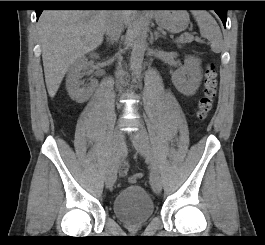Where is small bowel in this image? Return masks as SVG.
Here are the masks:
<instances>
[{"label": "small bowel", "instance_id": "small-bowel-1", "mask_svg": "<svg viewBox=\"0 0 265 245\" xmlns=\"http://www.w3.org/2000/svg\"><path fill=\"white\" fill-rule=\"evenodd\" d=\"M120 171H121V174H125L126 172V165L123 164L121 167H120Z\"/></svg>", "mask_w": 265, "mask_h": 245}]
</instances>
